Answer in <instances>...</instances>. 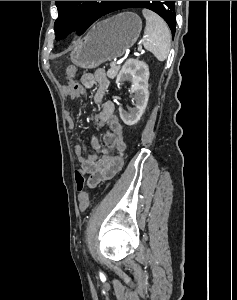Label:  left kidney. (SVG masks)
<instances>
[{
	"mask_svg": "<svg viewBox=\"0 0 237 300\" xmlns=\"http://www.w3.org/2000/svg\"><path fill=\"white\" fill-rule=\"evenodd\" d=\"M121 81H130L131 91L134 93L135 107L129 111L119 109V115L125 125H136L140 121L148 103L149 91V67L144 61L138 59H127L124 63L119 75H117L116 83L120 85Z\"/></svg>",
	"mask_w": 237,
	"mask_h": 300,
	"instance_id": "obj_1",
	"label": "left kidney"
}]
</instances>
